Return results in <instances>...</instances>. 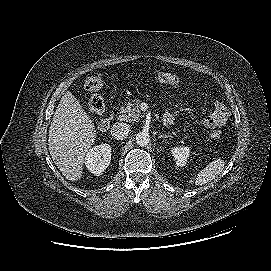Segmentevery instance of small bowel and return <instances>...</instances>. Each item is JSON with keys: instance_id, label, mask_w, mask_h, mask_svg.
<instances>
[{"instance_id": "1", "label": "small bowel", "mask_w": 271, "mask_h": 271, "mask_svg": "<svg viewBox=\"0 0 271 271\" xmlns=\"http://www.w3.org/2000/svg\"><path fill=\"white\" fill-rule=\"evenodd\" d=\"M228 116L227 107L221 102H215L212 112L203 118L202 123L206 128H219L227 121ZM174 119V115L170 112H166L163 116L164 124L165 121L172 124Z\"/></svg>"}]
</instances>
